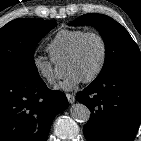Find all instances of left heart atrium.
Segmentation results:
<instances>
[{
	"label": "left heart atrium",
	"instance_id": "left-heart-atrium-1",
	"mask_svg": "<svg viewBox=\"0 0 141 141\" xmlns=\"http://www.w3.org/2000/svg\"><path fill=\"white\" fill-rule=\"evenodd\" d=\"M83 81V78L76 72H68L66 77L58 85L59 89L72 90Z\"/></svg>",
	"mask_w": 141,
	"mask_h": 141
}]
</instances>
